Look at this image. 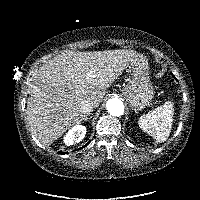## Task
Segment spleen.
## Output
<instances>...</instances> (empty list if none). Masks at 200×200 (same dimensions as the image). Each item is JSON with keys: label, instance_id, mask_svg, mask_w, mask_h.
Returning a JSON list of instances; mask_svg holds the SVG:
<instances>
[{"label": "spleen", "instance_id": "3e777b00", "mask_svg": "<svg viewBox=\"0 0 200 200\" xmlns=\"http://www.w3.org/2000/svg\"><path fill=\"white\" fill-rule=\"evenodd\" d=\"M174 104L167 101L164 105L141 116L138 120L140 128L158 142L168 139L172 129Z\"/></svg>", "mask_w": 200, "mask_h": 200}]
</instances>
